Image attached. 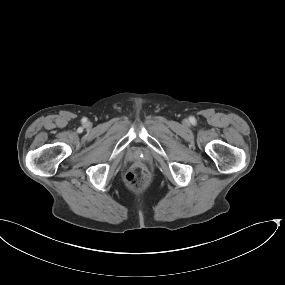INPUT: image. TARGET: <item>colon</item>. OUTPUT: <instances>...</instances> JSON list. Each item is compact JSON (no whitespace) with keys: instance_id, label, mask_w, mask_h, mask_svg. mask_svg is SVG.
Returning a JSON list of instances; mask_svg holds the SVG:
<instances>
[{"instance_id":"5ec220e1","label":"colon","mask_w":285,"mask_h":285,"mask_svg":"<svg viewBox=\"0 0 285 285\" xmlns=\"http://www.w3.org/2000/svg\"><path fill=\"white\" fill-rule=\"evenodd\" d=\"M125 181L132 190H141L149 181L148 171L143 165L137 164L127 172Z\"/></svg>"}]
</instances>
